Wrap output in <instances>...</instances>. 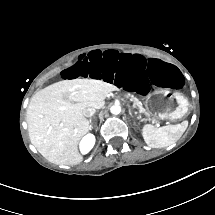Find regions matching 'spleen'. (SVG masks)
<instances>
[{
    "instance_id": "1",
    "label": "spleen",
    "mask_w": 215,
    "mask_h": 215,
    "mask_svg": "<svg viewBox=\"0 0 215 215\" xmlns=\"http://www.w3.org/2000/svg\"><path fill=\"white\" fill-rule=\"evenodd\" d=\"M185 122L161 127L147 124L143 129V137L150 147L159 148L168 146L180 138L179 131Z\"/></svg>"
}]
</instances>
